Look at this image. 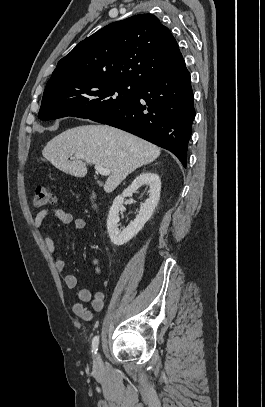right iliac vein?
Segmentation results:
<instances>
[{"label":"right iliac vein","instance_id":"1","mask_svg":"<svg viewBox=\"0 0 265 407\" xmlns=\"http://www.w3.org/2000/svg\"><path fill=\"white\" fill-rule=\"evenodd\" d=\"M100 362V356L99 355H96L95 356V359H94V363H95V365L97 366V364Z\"/></svg>","mask_w":265,"mask_h":407}]
</instances>
